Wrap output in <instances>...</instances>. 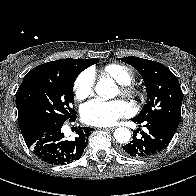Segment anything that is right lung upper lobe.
Instances as JSON below:
<instances>
[{
  "mask_svg": "<svg viewBox=\"0 0 196 196\" xmlns=\"http://www.w3.org/2000/svg\"><path fill=\"white\" fill-rule=\"evenodd\" d=\"M98 61H99V59H97V58H93V59L67 58V59H60V60L48 62V63H45V64H41V65L35 67L34 69L41 68V67H44V66L63 64V65L72 66V67L76 68L77 70H79L81 72L84 69H86L87 67H89L93 64H96Z\"/></svg>",
  "mask_w": 196,
  "mask_h": 196,
  "instance_id": "right-lung-upper-lobe-1",
  "label": "right lung upper lobe"
}]
</instances>
